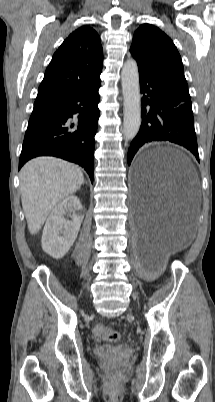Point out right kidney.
I'll list each match as a JSON object with an SVG mask.
<instances>
[{"instance_id":"1","label":"right kidney","mask_w":215,"mask_h":402,"mask_svg":"<svg viewBox=\"0 0 215 402\" xmlns=\"http://www.w3.org/2000/svg\"><path fill=\"white\" fill-rule=\"evenodd\" d=\"M70 215L66 220L64 215ZM84 215L77 196L65 198L52 210L42 234L43 250L55 259L66 255L77 238Z\"/></svg>"}]
</instances>
